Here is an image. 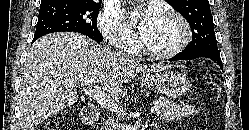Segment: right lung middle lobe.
<instances>
[{
  "mask_svg": "<svg viewBox=\"0 0 249 130\" xmlns=\"http://www.w3.org/2000/svg\"><path fill=\"white\" fill-rule=\"evenodd\" d=\"M101 2L90 0H65L40 6L34 37L53 32H78L101 42L103 36L97 28Z\"/></svg>",
  "mask_w": 249,
  "mask_h": 130,
  "instance_id": "obj_1",
  "label": "right lung middle lobe"
}]
</instances>
